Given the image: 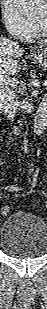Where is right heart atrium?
<instances>
[{
    "label": "right heart atrium",
    "instance_id": "d8ad5b80",
    "mask_svg": "<svg viewBox=\"0 0 47 309\" xmlns=\"http://www.w3.org/2000/svg\"><path fill=\"white\" fill-rule=\"evenodd\" d=\"M1 16L7 31L14 38L24 41L33 36V25L21 15L12 0H2Z\"/></svg>",
    "mask_w": 47,
    "mask_h": 309
}]
</instances>
